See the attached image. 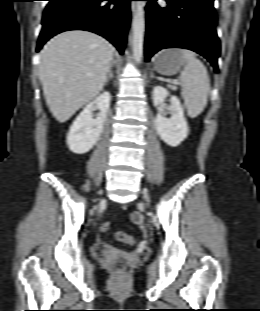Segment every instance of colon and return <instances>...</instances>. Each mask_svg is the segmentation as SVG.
I'll return each mask as SVG.
<instances>
[{
  "label": "colon",
  "mask_w": 260,
  "mask_h": 311,
  "mask_svg": "<svg viewBox=\"0 0 260 311\" xmlns=\"http://www.w3.org/2000/svg\"><path fill=\"white\" fill-rule=\"evenodd\" d=\"M109 228H110V223L109 222H104L102 224V226H101V230L103 232L108 231ZM115 238H116L117 241L129 244V245H132L135 242L134 238L132 236L128 235L127 233H125V232H117L116 235H115ZM116 268L119 271L123 270V268H124L123 262L122 261H118L116 263Z\"/></svg>",
  "instance_id": "obj_1"
}]
</instances>
